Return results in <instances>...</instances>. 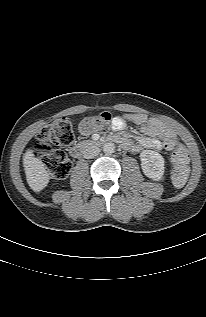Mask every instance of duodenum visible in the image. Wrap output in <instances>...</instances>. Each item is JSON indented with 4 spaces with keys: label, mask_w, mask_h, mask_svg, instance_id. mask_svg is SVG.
<instances>
[{
    "label": "duodenum",
    "mask_w": 206,
    "mask_h": 317,
    "mask_svg": "<svg viewBox=\"0 0 206 317\" xmlns=\"http://www.w3.org/2000/svg\"><path fill=\"white\" fill-rule=\"evenodd\" d=\"M122 138L118 136H109L104 141L100 140H91L78 144L71 148L70 153L74 158H80L87 150L92 149L99 145L101 142H113V143H122Z\"/></svg>",
    "instance_id": "duodenum-1"
}]
</instances>
